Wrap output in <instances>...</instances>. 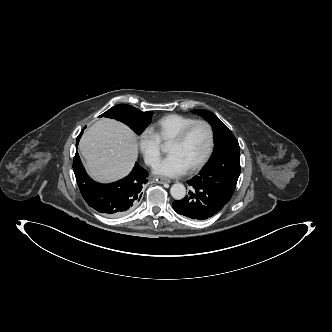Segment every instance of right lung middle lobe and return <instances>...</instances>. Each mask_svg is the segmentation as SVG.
Listing matches in <instances>:
<instances>
[{
    "label": "right lung middle lobe",
    "instance_id": "1",
    "mask_svg": "<svg viewBox=\"0 0 332 332\" xmlns=\"http://www.w3.org/2000/svg\"><path fill=\"white\" fill-rule=\"evenodd\" d=\"M153 112H142L130 105L119 104L100 115L119 120L128 125L136 134L140 135L151 122Z\"/></svg>",
    "mask_w": 332,
    "mask_h": 332
}]
</instances>
